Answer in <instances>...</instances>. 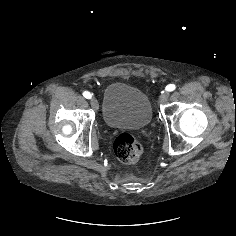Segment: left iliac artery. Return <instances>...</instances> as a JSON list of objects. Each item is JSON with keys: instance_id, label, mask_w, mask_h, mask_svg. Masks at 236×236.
I'll use <instances>...</instances> for the list:
<instances>
[{"instance_id": "obj_1", "label": "left iliac artery", "mask_w": 236, "mask_h": 236, "mask_svg": "<svg viewBox=\"0 0 236 236\" xmlns=\"http://www.w3.org/2000/svg\"><path fill=\"white\" fill-rule=\"evenodd\" d=\"M176 89V86L174 84H169L166 86V91H173Z\"/></svg>"}]
</instances>
